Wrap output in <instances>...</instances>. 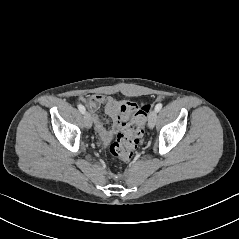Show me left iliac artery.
<instances>
[{
	"label": "left iliac artery",
	"mask_w": 239,
	"mask_h": 239,
	"mask_svg": "<svg viewBox=\"0 0 239 239\" xmlns=\"http://www.w3.org/2000/svg\"><path fill=\"white\" fill-rule=\"evenodd\" d=\"M162 103H158L156 106H155V110L157 111V112H159L161 109H162Z\"/></svg>",
	"instance_id": "left-iliac-artery-1"
}]
</instances>
